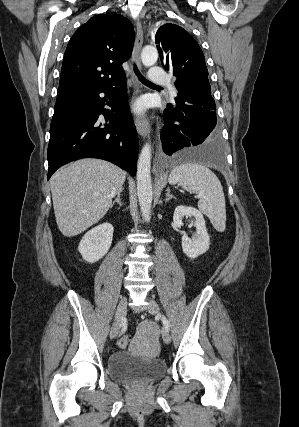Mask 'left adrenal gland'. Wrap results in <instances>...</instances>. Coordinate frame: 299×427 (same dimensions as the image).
Returning <instances> with one entry per match:
<instances>
[{"mask_svg":"<svg viewBox=\"0 0 299 427\" xmlns=\"http://www.w3.org/2000/svg\"><path fill=\"white\" fill-rule=\"evenodd\" d=\"M166 191L167 193L165 202H168L171 198H175L172 194H170V188H167Z\"/></svg>","mask_w":299,"mask_h":427,"instance_id":"obj_1","label":"left adrenal gland"}]
</instances>
